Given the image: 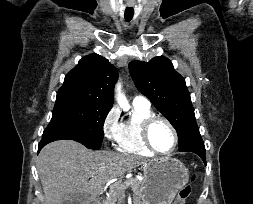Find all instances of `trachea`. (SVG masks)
<instances>
[{
  "label": "trachea",
  "instance_id": "obj_1",
  "mask_svg": "<svg viewBox=\"0 0 253 204\" xmlns=\"http://www.w3.org/2000/svg\"><path fill=\"white\" fill-rule=\"evenodd\" d=\"M133 15H134V9H133V7H127L125 9V14H124L125 20L127 22L131 21V19L133 18Z\"/></svg>",
  "mask_w": 253,
  "mask_h": 204
}]
</instances>
